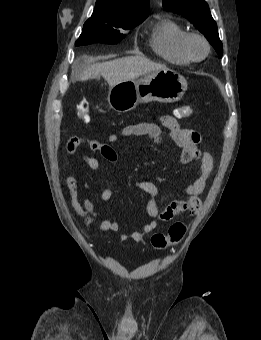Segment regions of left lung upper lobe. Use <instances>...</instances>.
Segmentation results:
<instances>
[{"mask_svg": "<svg viewBox=\"0 0 261 340\" xmlns=\"http://www.w3.org/2000/svg\"><path fill=\"white\" fill-rule=\"evenodd\" d=\"M163 7L191 21L204 34L218 56L222 57L223 48L219 39L217 24L204 0H163Z\"/></svg>", "mask_w": 261, "mask_h": 340, "instance_id": "1", "label": "left lung upper lobe"}]
</instances>
